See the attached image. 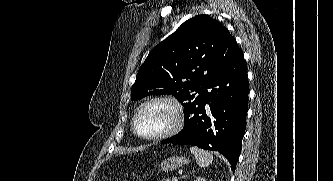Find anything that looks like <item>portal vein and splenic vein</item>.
<instances>
[{"label": "portal vein and splenic vein", "instance_id": "obj_1", "mask_svg": "<svg viewBox=\"0 0 333 181\" xmlns=\"http://www.w3.org/2000/svg\"><path fill=\"white\" fill-rule=\"evenodd\" d=\"M172 181H178L177 177H173Z\"/></svg>", "mask_w": 333, "mask_h": 181}]
</instances>
